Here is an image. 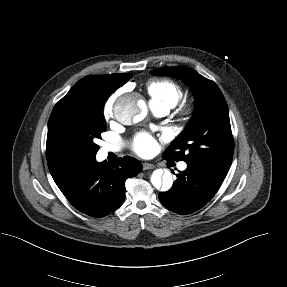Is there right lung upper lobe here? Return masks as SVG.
Masks as SVG:
<instances>
[{"label":"right lung upper lobe","mask_w":287,"mask_h":287,"mask_svg":"<svg viewBox=\"0 0 287 287\" xmlns=\"http://www.w3.org/2000/svg\"><path fill=\"white\" fill-rule=\"evenodd\" d=\"M130 75L127 74H111V75H99V76H86L78 81L70 91L64 96L67 98L76 93L85 92L88 90H104L110 94L115 91L117 88L125 84ZM53 112V111H52ZM52 117L51 113L49 122H48V135H47V145H46V157L48 162L49 171L57 184V186L64 183V181L79 168L77 163H72L68 160H65L59 157L51 148V128H52Z\"/></svg>","instance_id":"obj_1"}]
</instances>
